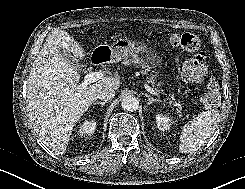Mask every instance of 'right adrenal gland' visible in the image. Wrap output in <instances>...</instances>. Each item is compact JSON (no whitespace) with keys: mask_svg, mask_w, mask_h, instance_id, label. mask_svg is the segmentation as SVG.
<instances>
[{"mask_svg":"<svg viewBox=\"0 0 245 189\" xmlns=\"http://www.w3.org/2000/svg\"><path fill=\"white\" fill-rule=\"evenodd\" d=\"M107 102L106 101H104V102H98V101H96V102H94L93 103V105H101V106H103V105H105Z\"/></svg>","mask_w":245,"mask_h":189,"instance_id":"right-adrenal-gland-1","label":"right adrenal gland"}]
</instances>
